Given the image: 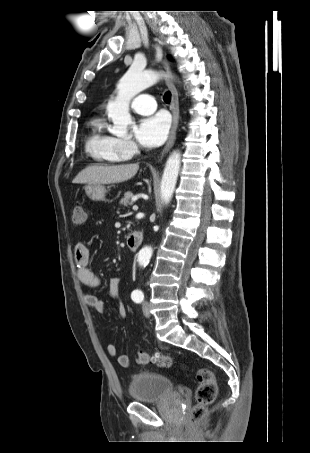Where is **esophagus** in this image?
<instances>
[{
  "mask_svg": "<svg viewBox=\"0 0 310 453\" xmlns=\"http://www.w3.org/2000/svg\"><path fill=\"white\" fill-rule=\"evenodd\" d=\"M162 66L164 68V70L169 74L170 73V67H169V64L167 63V61L164 59L162 61ZM167 86L168 88L170 89L171 91V94H172V98H171V111H172V115H173V123H172V127H171V130H170V134H169V138H168V141L162 151V155H164L166 152H168L170 150V148L173 146L174 144V141L176 139V130H177V127H178V122H179V100H178V92H177V89L175 87V85L173 84L172 80L170 78L167 79Z\"/></svg>",
  "mask_w": 310,
  "mask_h": 453,
  "instance_id": "obj_1",
  "label": "esophagus"
}]
</instances>
